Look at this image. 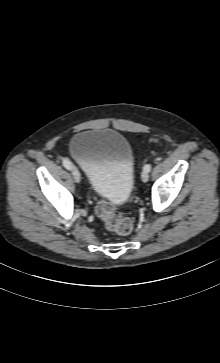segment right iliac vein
Segmentation results:
<instances>
[{
	"label": "right iliac vein",
	"mask_w": 220,
	"mask_h": 363,
	"mask_svg": "<svg viewBox=\"0 0 220 363\" xmlns=\"http://www.w3.org/2000/svg\"><path fill=\"white\" fill-rule=\"evenodd\" d=\"M71 170H72V175H73L74 180H75L77 183H79V182L81 181V175H80L79 170H78L75 166H73V167L71 168Z\"/></svg>",
	"instance_id": "1"
}]
</instances>
